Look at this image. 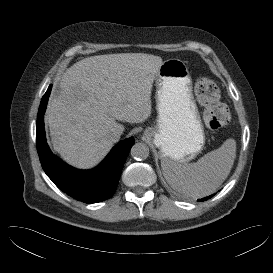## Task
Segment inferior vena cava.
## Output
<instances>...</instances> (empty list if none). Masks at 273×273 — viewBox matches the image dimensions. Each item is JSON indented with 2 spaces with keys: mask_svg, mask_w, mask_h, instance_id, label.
<instances>
[{
  "mask_svg": "<svg viewBox=\"0 0 273 273\" xmlns=\"http://www.w3.org/2000/svg\"><path fill=\"white\" fill-rule=\"evenodd\" d=\"M110 138H111V140L113 141V142H117L118 140H119V138H120V135L118 134V133H112L111 134V136H110Z\"/></svg>",
  "mask_w": 273,
  "mask_h": 273,
  "instance_id": "obj_1",
  "label": "inferior vena cava"
}]
</instances>
